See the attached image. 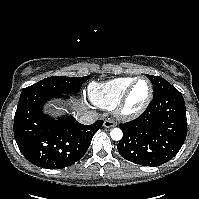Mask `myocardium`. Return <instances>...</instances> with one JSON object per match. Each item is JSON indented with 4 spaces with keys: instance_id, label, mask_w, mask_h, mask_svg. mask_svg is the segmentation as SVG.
<instances>
[{
    "instance_id": "1",
    "label": "myocardium",
    "mask_w": 199,
    "mask_h": 199,
    "mask_svg": "<svg viewBox=\"0 0 199 199\" xmlns=\"http://www.w3.org/2000/svg\"><path fill=\"white\" fill-rule=\"evenodd\" d=\"M139 80H144V81L148 82L149 93H148L147 98L144 100V102L139 107H137L136 109L130 110L127 108L128 99L130 97V94H131L134 86L136 85V83ZM153 93H154L153 84L149 78H147L146 76L136 77L135 79H133V81L130 83V85L127 87V89L121 96L120 100L117 102V104H116L117 115L123 119H135V118L139 117L149 106V104L153 98Z\"/></svg>"
}]
</instances>
